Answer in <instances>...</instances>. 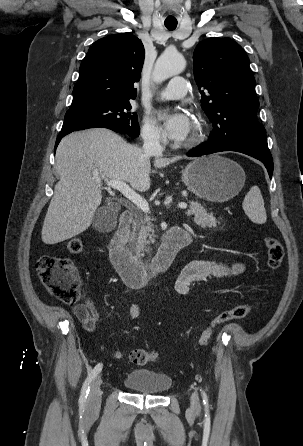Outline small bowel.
Segmentation results:
<instances>
[{
    "label": "small bowel",
    "instance_id": "c3829d8e",
    "mask_svg": "<svg viewBox=\"0 0 303 446\" xmlns=\"http://www.w3.org/2000/svg\"><path fill=\"white\" fill-rule=\"evenodd\" d=\"M243 270L244 266L241 263L227 265L214 260H193L180 271L175 280L174 288L178 294L186 295L192 286L210 276L224 278L238 275ZM72 312L87 331L92 332L100 327L99 314L90 298L84 303L73 306ZM139 315L140 309L136 304L132 305L127 311V317L131 320L138 318Z\"/></svg>",
    "mask_w": 303,
    "mask_h": 446
}]
</instances>
